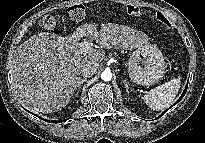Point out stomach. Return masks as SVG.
Returning <instances> with one entry per match:
<instances>
[{"label":"stomach","instance_id":"1","mask_svg":"<svg viewBox=\"0 0 205 143\" xmlns=\"http://www.w3.org/2000/svg\"><path fill=\"white\" fill-rule=\"evenodd\" d=\"M128 72L135 84L148 86L158 82L165 73L161 51L151 44L137 48L128 61Z\"/></svg>","mask_w":205,"mask_h":143}]
</instances>
